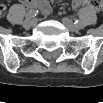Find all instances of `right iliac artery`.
Instances as JSON below:
<instances>
[{"instance_id": "obj_1", "label": "right iliac artery", "mask_w": 103, "mask_h": 103, "mask_svg": "<svg viewBox=\"0 0 103 103\" xmlns=\"http://www.w3.org/2000/svg\"><path fill=\"white\" fill-rule=\"evenodd\" d=\"M37 14H38L37 10H30L26 14V19H31V18L35 17Z\"/></svg>"}]
</instances>
